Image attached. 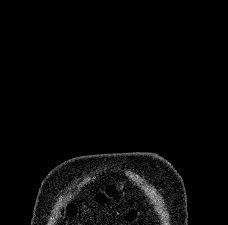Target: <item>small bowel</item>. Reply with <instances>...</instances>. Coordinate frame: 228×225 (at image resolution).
<instances>
[{
	"mask_svg": "<svg viewBox=\"0 0 228 225\" xmlns=\"http://www.w3.org/2000/svg\"><path fill=\"white\" fill-rule=\"evenodd\" d=\"M132 217H133V213L129 214V215H128V220H131Z\"/></svg>",
	"mask_w": 228,
	"mask_h": 225,
	"instance_id": "c3829d8e",
	"label": "small bowel"
}]
</instances>
